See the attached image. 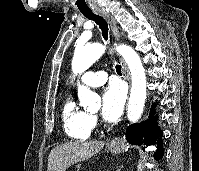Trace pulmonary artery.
Returning <instances> with one entry per match:
<instances>
[{"instance_id": "e3ab8cb5", "label": "pulmonary artery", "mask_w": 199, "mask_h": 171, "mask_svg": "<svg viewBox=\"0 0 199 171\" xmlns=\"http://www.w3.org/2000/svg\"><path fill=\"white\" fill-rule=\"evenodd\" d=\"M107 80V74L104 71H87L81 78L82 83L88 86L97 87Z\"/></svg>"}]
</instances>
